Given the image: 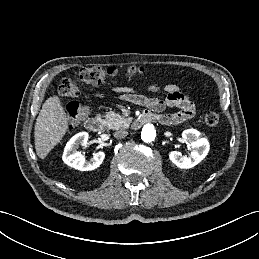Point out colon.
<instances>
[{
    "mask_svg": "<svg viewBox=\"0 0 259 259\" xmlns=\"http://www.w3.org/2000/svg\"><path fill=\"white\" fill-rule=\"evenodd\" d=\"M129 80L141 81L145 75V69L143 67H130L125 72ZM118 75V70L114 67L102 68L98 66L84 67L80 69L76 75L77 80L89 85H101L107 82H114ZM58 91L65 97H77L80 95V88L78 83L74 79H64L59 87ZM68 126L73 128L75 125L86 119L90 113V107L88 104L72 101L66 108ZM220 116L216 111H208L205 115V122L209 126H215L219 123Z\"/></svg>",
    "mask_w": 259,
    "mask_h": 259,
    "instance_id": "obj_1",
    "label": "colon"
}]
</instances>
